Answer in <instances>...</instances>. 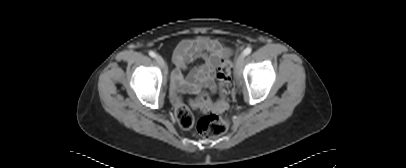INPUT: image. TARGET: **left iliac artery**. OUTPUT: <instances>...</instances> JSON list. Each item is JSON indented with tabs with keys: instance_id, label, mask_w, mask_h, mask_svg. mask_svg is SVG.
<instances>
[{
	"instance_id": "left-iliac-artery-1",
	"label": "left iliac artery",
	"mask_w": 406,
	"mask_h": 168,
	"mask_svg": "<svg viewBox=\"0 0 406 168\" xmlns=\"http://www.w3.org/2000/svg\"><path fill=\"white\" fill-rule=\"evenodd\" d=\"M251 52H252V49H251L250 47H247V48L243 51V54H244V56H247V55H249Z\"/></svg>"
}]
</instances>
